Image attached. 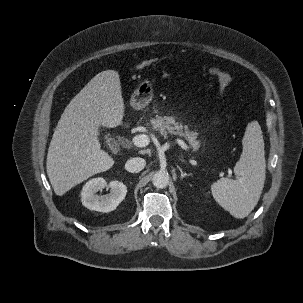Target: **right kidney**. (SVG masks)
<instances>
[{
	"label": "right kidney",
	"instance_id": "right-kidney-1",
	"mask_svg": "<svg viewBox=\"0 0 303 303\" xmlns=\"http://www.w3.org/2000/svg\"><path fill=\"white\" fill-rule=\"evenodd\" d=\"M105 187L110 188L107 195H97ZM127 193V187L119 181L107 182L103 178H94L89 180L82 188V204L90 209L99 212H110L123 201Z\"/></svg>",
	"mask_w": 303,
	"mask_h": 303
}]
</instances>
